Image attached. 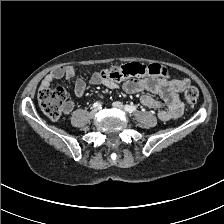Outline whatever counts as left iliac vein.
<instances>
[{
  "instance_id": "4c4485c4",
  "label": "left iliac vein",
  "mask_w": 224,
  "mask_h": 224,
  "mask_svg": "<svg viewBox=\"0 0 224 224\" xmlns=\"http://www.w3.org/2000/svg\"><path fill=\"white\" fill-rule=\"evenodd\" d=\"M112 106H113L114 108H116V109L121 110V111H125V107H124V105H123L121 102L116 101V102H114V103L112 104Z\"/></svg>"
}]
</instances>
